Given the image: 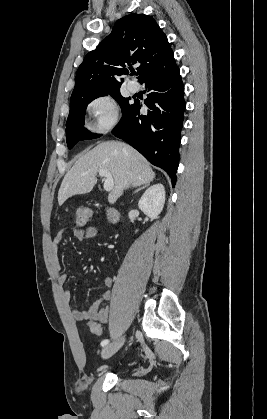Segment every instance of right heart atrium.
Listing matches in <instances>:
<instances>
[{"label":"right heart atrium","mask_w":267,"mask_h":419,"mask_svg":"<svg viewBox=\"0 0 267 419\" xmlns=\"http://www.w3.org/2000/svg\"><path fill=\"white\" fill-rule=\"evenodd\" d=\"M87 109L93 119L90 130L94 133H106L118 123L119 108L116 101L109 95L94 98Z\"/></svg>","instance_id":"obj_1"}]
</instances>
